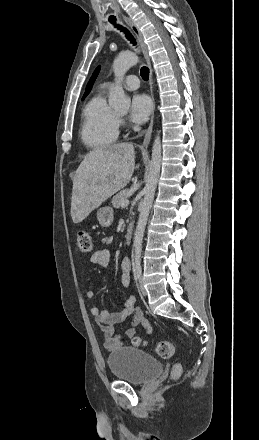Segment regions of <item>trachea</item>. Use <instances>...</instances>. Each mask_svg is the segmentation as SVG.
<instances>
[{
  "label": "trachea",
  "mask_w": 259,
  "mask_h": 440,
  "mask_svg": "<svg viewBox=\"0 0 259 440\" xmlns=\"http://www.w3.org/2000/svg\"><path fill=\"white\" fill-rule=\"evenodd\" d=\"M109 22L116 25V18H110ZM116 27H118V29H120L121 31H123L125 33L126 38L133 44L136 45V40L134 39V37L131 35V33L124 27L116 25ZM140 75L142 77L143 80H148L149 79V69L147 67H142L141 71H140Z\"/></svg>",
  "instance_id": "trachea-1"
}]
</instances>
